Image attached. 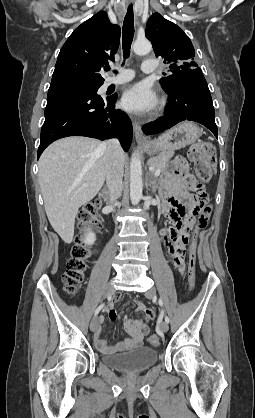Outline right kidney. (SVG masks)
Instances as JSON below:
<instances>
[{
  "label": "right kidney",
  "instance_id": "obj_1",
  "mask_svg": "<svg viewBox=\"0 0 255 418\" xmlns=\"http://www.w3.org/2000/svg\"><path fill=\"white\" fill-rule=\"evenodd\" d=\"M95 234L91 231H89L84 238V243L87 245H92L95 241Z\"/></svg>",
  "mask_w": 255,
  "mask_h": 418
}]
</instances>
